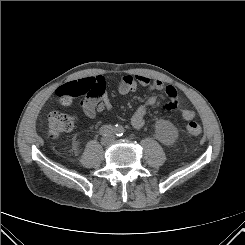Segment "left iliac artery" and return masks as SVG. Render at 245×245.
<instances>
[{"label":"left iliac artery","mask_w":245,"mask_h":245,"mask_svg":"<svg viewBox=\"0 0 245 245\" xmlns=\"http://www.w3.org/2000/svg\"><path fill=\"white\" fill-rule=\"evenodd\" d=\"M125 130L122 126L120 125H115V128H114V133L116 136L120 137L124 134Z\"/></svg>","instance_id":"left-iliac-artery-1"}]
</instances>
